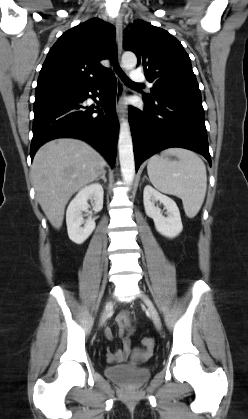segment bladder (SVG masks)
Segmentation results:
<instances>
[{"mask_svg": "<svg viewBox=\"0 0 248 419\" xmlns=\"http://www.w3.org/2000/svg\"><path fill=\"white\" fill-rule=\"evenodd\" d=\"M105 375L127 388H138L150 379L151 371L133 365H118L107 366L105 368Z\"/></svg>", "mask_w": 248, "mask_h": 419, "instance_id": "31cf9c89", "label": "bladder"}]
</instances>
